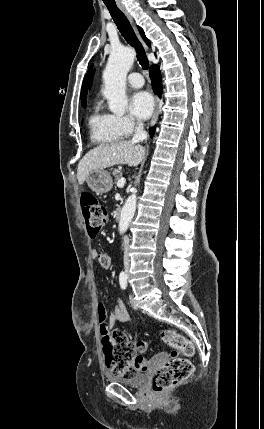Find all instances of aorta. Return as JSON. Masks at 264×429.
<instances>
[{
	"label": "aorta",
	"mask_w": 264,
	"mask_h": 429,
	"mask_svg": "<svg viewBox=\"0 0 264 429\" xmlns=\"http://www.w3.org/2000/svg\"><path fill=\"white\" fill-rule=\"evenodd\" d=\"M135 52L128 47L113 48L103 72V95L108 101L109 110L116 114L125 112L128 100L125 93L126 76L133 65ZM137 196L132 193L126 200L120 214L119 232L127 231L136 210Z\"/></svg>",
	"instance_id": "aorta-1"
}]
</instances>
